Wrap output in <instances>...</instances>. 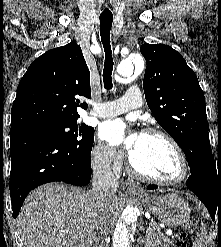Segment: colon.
<instances>
[{"label":"colon","instance_id":"colon-1","mask_svg":"<svg viewBox=\"0 0 221 247\" xmlns=\"http://www.w3.org/2000/svg\"><path fill=\"white\" fill-rule=\"evenodd\" d=\"M189 225L192 226L193 225V222L191 221L189 223ZM175 247H186L185 233L184 232L180 233L179 238H178V240L175 243Z\"/></svg>","mask_w":221,"mask_h":247}]
</instances>
